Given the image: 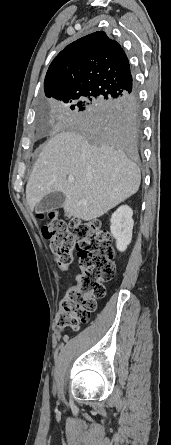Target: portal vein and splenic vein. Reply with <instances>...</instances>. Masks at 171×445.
<instances>
[{"instance_id":"1","label":"portal vein and splenic vein","mask_w":171,"mask_h":445,"mask_svg":"<svg viewBox=\"0 0 171 445\" xmlns=\"http://www.w3.org/2000/svg\"><path fill=\"white\" fill-rule=\"evenodd\" d=\"M68 181H69V182H73V181H74V178H73V177H69V178H68Z\"/></svg>"}]
</instances>
